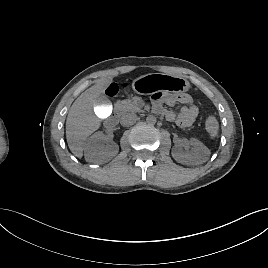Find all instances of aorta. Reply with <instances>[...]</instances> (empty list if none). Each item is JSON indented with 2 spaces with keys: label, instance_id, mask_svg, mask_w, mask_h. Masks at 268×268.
Segmentation results:
<instances>
[{
  "label": "aorta",
  "instance_id": "obj_1",
  "mask_svg": "<svg viewBox=\"0 0 268 268\" xmlns=\"http://www.w3.org/2000/svg\"><path fill=\"white\" fill-rule=\"evenodd\" d=\"M157 119L154 115H148L146 118V122L150 125H154L156 123Z\"/></svg>",
  "mask_w": 268,
  "mask_h": 268
}]
</instances>
